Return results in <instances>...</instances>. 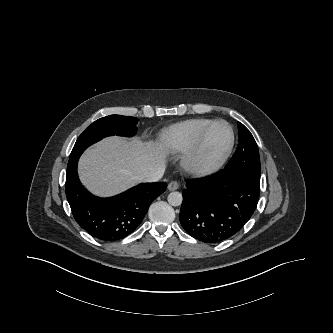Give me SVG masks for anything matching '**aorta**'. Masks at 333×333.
Segmentation results:
<instances>
[{"instance_id":"762f6f07","label":"aorta","mask_w":333,"mask_h":333,"mask_svg":"<svg viewBox=\"0 0 333 333\" xmlns=\"http://www.w3.org/2000/svg\"><path fill=\"white\" fill-rule=\"evenodd\" d=\"M182 200H183L182 195L179 192L174 191L168 195V203L172 206L181 205Z\"/></svg>"}]
</instances>
